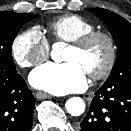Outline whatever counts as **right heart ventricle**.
Returning a JSON list of instances; mask_svg holds the SVG:
<instances>
[{
  "label": "right heart ventricle",
  "mask_w": 131,
  "mask_h": 131,
  "mask_svg": "<svg viewBox=\"0 0 131 131\" xmlns=\"http://www.w3.org/2000/svg\"><path fill=\"white\" fill-rule=\"evenodd\" d=\"M48 28L54 40L70 43L95 30V25L79 15H64L52 20Z\"/></svg>",
  "instance_id": "e07e8e85"
}]
</instances>
